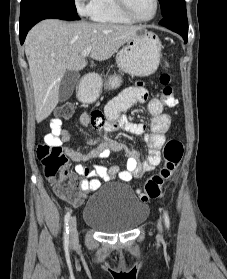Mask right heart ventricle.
Returning <instances> with one entry per match:
<instances>
[{
  "label": "right heart ventricle",
  "mask_w": 227,
  "mask_h": 279,
  "mask_svg": "<svg viewBox=\"0 0 227 279\" xmlns=\"http://www.w3.org/2000/svg\"><path fill=\"white\" fill-rule=\"evenodd\" d=\"M93 20L114 24H131L134 21L126 17L117 7L115 0H100L91 14Z\"/></svg>",
  "instance_id": "1"
}]
</instances>
